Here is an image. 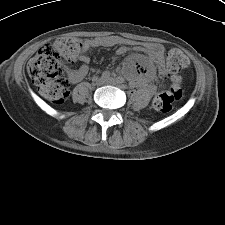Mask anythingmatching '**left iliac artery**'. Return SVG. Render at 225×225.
<instances>
[{
	"label": "left iliac artery",
	"instance_id": "left-iliac-artery-1",
	"mask_svg": "<svg viewBox=\"0 0 225 225\" xmlns=\"http://www.w3.org/2000/svg\"><path fill=\"white\" fill-rule=\"evenodd\" d=\"M117 79V82L119 83V84H123L124 82H125V80H124V78L123 77H117L116 78Z\"/></svg>",
	"mask_w": 225,
	"mask_h": 225
}]
</instances>
